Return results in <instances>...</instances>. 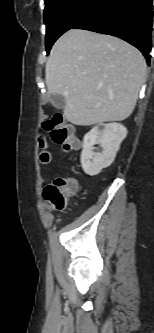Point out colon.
<instances>
[{"label":"colon","instance_id":"1","mask_svg":"<svg viewBox=\"0 0 154 333\" xmlns=\"http://www.w3.org/2000/svg\"><path fill=\"white\" fill-rule=\"evenodd\" d=\"M43 129L48 132L54 143L60 145L66 152L76 150L79 146L75 129L66 123L60 115H54L43 123ZM39 160L42 164L50 162V153L43 138H40ZM77 189L75 180L58 177L48 184L43 191V199L53 210H63L68 198Z\"/></svg>","mask_w":154,"mask_h":333}]
</instances>
